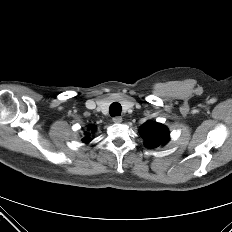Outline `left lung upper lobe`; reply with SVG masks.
<instances>
[{
    "label": "left lung upper lobe",
    "mask_w": 232,
    "mask_h": 232,
    "mask_svg": "<svg viewBox=\"0 0 232 232\" xmlns=\"http://www.w3.org/2000/svg\"><path fill=\"white\" fill-rule=\"evenodd\" d=\"M139 132L145 140V146L150 149L164 145L169 140L168 129L157 122L147 121L140 127Z\"/></svg>",
    "instance_id": "left-lung-upper-lobe-1"
}]
</instances>
